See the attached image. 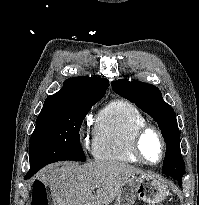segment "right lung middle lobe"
<instances>
[{"label":"right lung middle lobe","mask_w":199,"mask_h":205,"mask_svg":"<svg viewBox=\"0 0 199 205\" xmlns=\"http://www.w3.org/2000/svg\"><path fill=\"white\" fill-rule=\"evenodd\" d=\"M88 99L41 111L29 145L30 170L33 176L47 164L61 160L86 161L80 146L79 130L92 105Z\"/></svg>","instance_id":"1"}]
</instances>
